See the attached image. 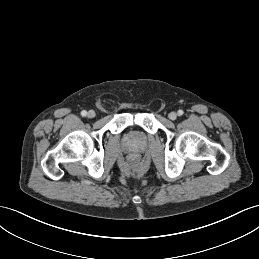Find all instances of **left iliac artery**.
Listing matches in <instances>:
<instances>
[{"instance_id":"obj_1","label":"left iliac artery","mask_w":259,"mask_h":259,"mask_svg":"<svg viewBox=\"0 0 259 259\" xmlns=\"http://www.w3.org/2000/svg\"><path fill=\"white\" fill-rule=\"evenodd\" d=\"M183 113H184L183 110H178V115L179 116L183 115Z\"/></svg>"}]
</instances>
